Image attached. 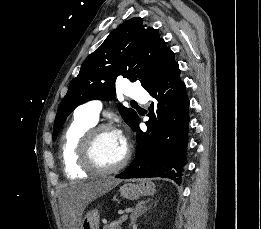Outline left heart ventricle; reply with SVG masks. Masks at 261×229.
Wrapping results in <instances>:
<instances>
[{
  "instance_id": "b2bd125f",
  "label": "left heart ventricle",
  "mask_w": 261,
  "mask_h": 229,
  "mask_svg": "<svg viewBox=\"0 0 261 229\" xmlns=\"http://www.w3.org/2000/svg\"><path fill=\"white\" fill-rule=\"evenodd\" d=\"M126 147L119 133L105 132L100 135L95 147V156L98 162L105 167L117 165L124 157Z\"/></svg>"
}]
</instances>
